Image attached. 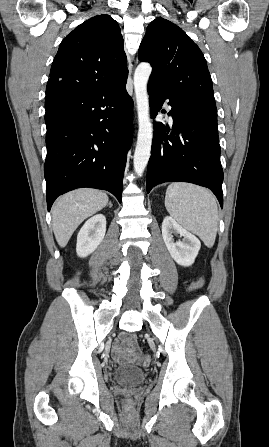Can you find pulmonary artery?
Here are the masks:
<instances>
[{"label": "pulmonary artery", "instance_id": "1", "mask_svg": "<svg viewBox=\"0 0 269 447\" xmlns=\"http://www.w3.org/2000/svg\"><path fill=\"white\" fill-rule=\"evenodd\" d=\"M165 107H166V109H167L168 111L171 110V106H170L168 103L165 104Z\"/></svg>", "mask_w": 269, "mask_h": 447}]
</instances>
